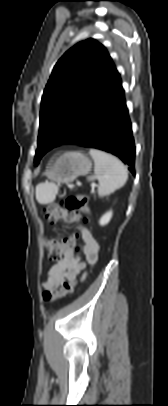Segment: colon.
<instances>
[{
    "label": "colon",
    "mask_w": 168,
    "mask_h": 406,
    "mask_svg": "<svg viewBox=\"0 0 168 406\" xmlns=\"http://www.w3.org/2000/svg\"><path fill=\"white\" fill-rule=\"evenodd\" d=\"M89 215V208L87 206V199L83 195L68 196L62 201L61 205H51L44 211V221L48 224H54L56 222H73L78 220L87 221ZM68 239H54L48 238L46 240V249L48 258L51 260L58 259L66 246L68 245ZM79 249H76L78 252ZM77 259L78 256L75 255ZM76 281H67L63 283L57 290H45L43 298L46 302H53L61 299L74 291Z\"/></svg>",
    "instance_id": "colon-1"
}]
</instances>
